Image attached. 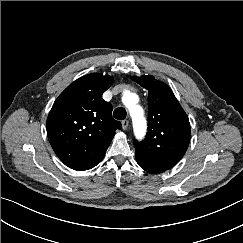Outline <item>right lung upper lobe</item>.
I'll use <instances>...</instances> for the list:
<instances>
[{
  "instance_id": "obj_1",
  "label": "right lung upper lobe",
  "mask_w": 243,
  "mask_h": 243,
  "mask_svg": "<svg viewBox=\"0 0 243 243\" xmlns=\"http://www.w3.org/2000/svg\"><path fill=\"white\" fill-rule=\"evenodd\" d=\"M113 77L85 75L55 100L47 118L48 140L59 159L74 170L95 167L104 157L117 129L112 105L102 98Z\"/></svg>"
}]
</instances>
